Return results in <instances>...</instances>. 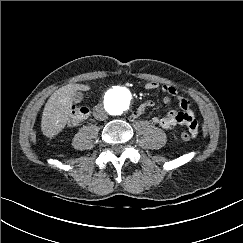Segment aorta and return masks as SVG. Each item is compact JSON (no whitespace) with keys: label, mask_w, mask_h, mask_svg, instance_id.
Listing matches in <instances>:
<instances>
[{"label":"aorta","mask_w":243,"mask_h":243,"mask_svg":"<svg viewBox=\"0 0 243 243\" xmlns=\"http://www.w3.org/2000/svg\"><path fill=\"white\" fill-rule=\"evenodd\" d=\"M107 99L109 102H112L114 100V95L109 93L108 96H107Z\"/></svg>","instance_id":"obj_1"}]
</instances>
